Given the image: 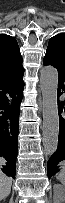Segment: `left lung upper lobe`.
Segmentation results:
<instances>
[{
	"mask_svg": "<svg viewBox=\"0 0 65 203\" xmlns=\"http://www.w3.org/2000/svg\"><path fill=\"white\" fill-rule=\"evenodd\" d=\"M65 66V33L57 34L49 41L47 51Z\"/></svg>",
	"mask_w": 65,
	"mask_h": 203,
	"instance_id": "obj_1",
	"label": "left lung upper lobe"
}]
</instances>
